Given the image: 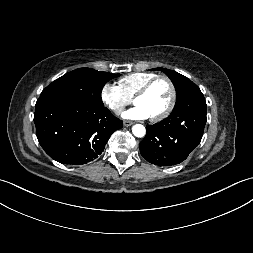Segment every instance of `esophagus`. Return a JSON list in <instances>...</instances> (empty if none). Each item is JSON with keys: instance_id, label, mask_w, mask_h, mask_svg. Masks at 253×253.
<instances>
[{"instance_id": "1", "label": "esophagus", "mask_w": 253, "mask_h": 253, "mask_svg": "<svg viewBox=\"0 0 253 253\" xmlns=\"http://www.w3.org/2000/svg\"><path fill=\"white\" fill-rule=\"evenodd\" d=\"M124 126L125 127H128V126H131V125H133L134 124V122H132V121H124Z\"/></svg>"}]
</instances>
